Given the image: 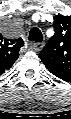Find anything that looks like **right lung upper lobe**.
Here are the masks:
<instances>
[{
	"label": "right lung upper lobe",
	"instance_id": "1",
	"mask_svg": "<svg viewBox=\"0 0 71 119\" xmlns=\"http://www.w3.org/2000/svg\"><path fill=\"white\" fill-rule=\"evenodd\" d=\"M24 41L21 38L8 40L1 38L0 40V74L9 70L13 63L19 57L20 48Z\"/></svg>",
	"mask_w": 71,
	"mask_h": 119
}]
</instances>
